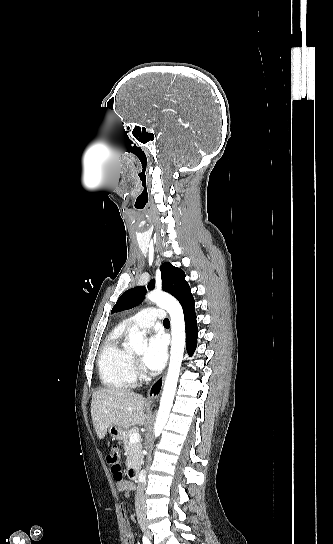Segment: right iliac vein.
<instances>
[{
    "label": "right iliac vein",
    "mask_w": 333,
    "mask_h": 544,
    "mask_svg": "<svg viewBox=\"0 0 333 544\" xmlns=\"http://www.w3.org/2000/svg\"><path fill=\"white\" fill-rule=\"evenodd\" d=\"M141 527H142V529H143L145 535H146L148 538L151 539V533H150V531L148 530V528L146 527V525H145V524H141Z\"/></svg>",
    "instance_id": "obj_1"
}]
</instances>
